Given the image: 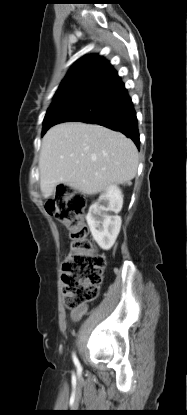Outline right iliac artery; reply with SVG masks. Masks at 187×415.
Segmentation results:
<instances>
[{"mask_svg":"<svg viewBox=\"0 0 187 415\" xmlns=\"http://www.w3.org/2000/svg\"><path fill=\"white\" fill-rule=\"evenodd\" d=\"M73 361H74L75 365H76L78 368H80V363H79V360H78V358L76 357V355H75V354H73Z\"/></svg>","mask_w":187,"mask_h":415,"instance_id":"1","label":"right iliac artery"}]
</instances>
